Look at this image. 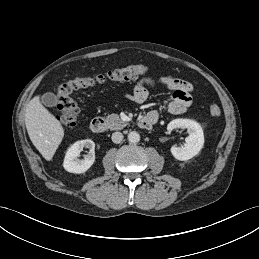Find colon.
<instances>
[{
    "mask_svg": "<svg viewBox=\"0 0 259 259\" xmlns=\"http://www.w3.org/2000/svg\"><path fill=\"white\" fill-rule=\"evenodd\" d=\"M147 73V68L143 65H131L105 74L91 77H76L64 81L57 88V106L61 111L59 121L64 128L72 129L78 123L80 109L76 101L72 98L75 91L85 89L96 84L105 82H124L141 77ZM212 116L218 117L221 114L219 106L213 104L209 108Z\"/></svg>",
    "mask_w": 259,
    "mask_h": 259,
    "instance_id": "1",
    "label": "colon"
}]
</instances>
